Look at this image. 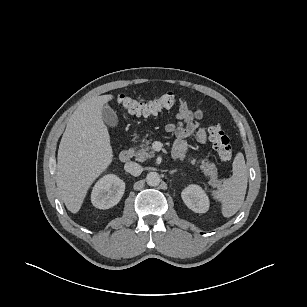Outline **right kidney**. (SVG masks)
I'll return each instance as SVG.
<instances>
[{
	"mask_svg": "<svg viewBox=\"0 0 307 307\" xmlns=\"http://www.w3.org/2000/svg\"><path fill=\"white\" fill-rule=\"evenodd\" d=\"M125 183L119 177L108 174L99 179L93 187L91 202L99 209H109L121 200Z\"/></svg>",
	"mask_w": 307,
	"mask_h": 307,
	"instance_id": "1",
	"label": "right kidney"
}]
</instances>
